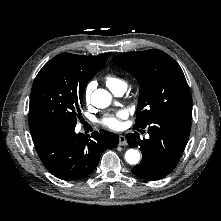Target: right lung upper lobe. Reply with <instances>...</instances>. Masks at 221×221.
<instances>
[{
  "label": "right lung upper lobe",
  "instance_id": "cb5924a9",
  "mask_svg": "<svg viewBox=\"0 0 221 221\" xmlns=\"http://www.w3.org/2000/svg\"><path fill=\"white\" fill-rule=\"evenodd\" d=\"M110 53H106L100 56H82L83 67L90 72H98L99 69L103 68L106 64V61ZM57 129L45 126V125H32L30 126V132L32 136L38 135L41 132L45 131H56Z\"/></svg>",
  "mask_w": 221,
  "mask_h": 221
}]
</instances>
